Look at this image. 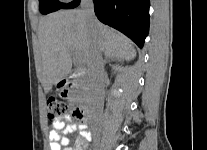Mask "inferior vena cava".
Here are the masks:
<instances>
[{"label": "inferior vena cava", "mask_w": 207, "mask_h": 150, "mask_svg": "<svg viewBox=\"0 0 207 150\" xmlns=\"http://www.w3.org/2000/svg\"><path fill=\"white\" fill-rule=\"evenodd\" d=\"M80 6L86 22L92 27L95 26L97 19L94 13L93 1L82 0ZM88 71L93 99L102 106L103 90L107 76L104 72V61L102 58V54L96 42L94 44V47L92 48L91 55L89 57Z\"/></svg>", "instance_id": "1"}]
</instances>
